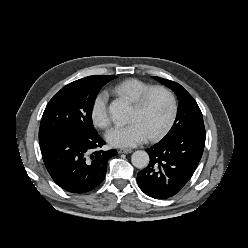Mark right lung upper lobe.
I'll list each match as a JSON object with an SVG mask.
<instances>
[{
    "mask_svg": "<svg viewBox=\"0 0 248 248\" xmlns=\"http://www.w3.org/2000/svg\"><path fill=\"white\" fill-rule=\"evenodd\" d=\"M93 77L98 78V79H102V80H106V81H110V80L116 78V76H112V75H109V76L101 75V76H93Z\"/></svg>",
    "mask_w": 248,
    "mask_h": 248,
    "instance_id": "1",
    "label": "right lung upper lobe"
}]
</instances>
